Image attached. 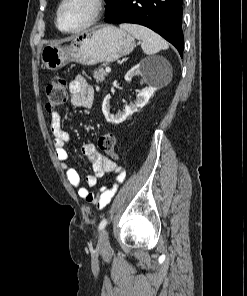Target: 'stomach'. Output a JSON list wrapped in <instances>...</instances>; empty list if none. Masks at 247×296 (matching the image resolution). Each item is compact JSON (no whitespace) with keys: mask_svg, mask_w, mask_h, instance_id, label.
I'll use <instances>...</instances> for the list:
<instances>
[{"mask_svg":"<svg viewBox=\"0 0 247 296\" xmlns=\"http://www.w3.org/2000/svg\"><path fill=\"white\" fill-rule=\"evenodd\" d=\"M135 47L131 34L112 25H104L75 35L68 46L45 45L41 62L51 71L69 62L96 65L113 62L130 54Z\"/></svg>","mask_w":247,"mask_h":296,"instance_id":"0dacf381","label":"stomach"}]
</instances>
